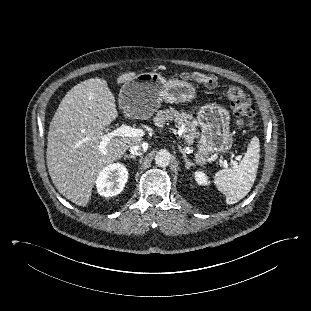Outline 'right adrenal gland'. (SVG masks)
Instances as JSON below:
<instances>
[{"label": "right adrenal gland", "instance_id": "obj_1", "mask_svg": "<svg viewBox=\"0 0 311 311\" xmlns=\"http://www.w3.org/2000/svg\"><path fill=\"white\" fill-rule=\"evenodd\" d=\"M136 157L137 156H135V155H124V159L131 158V159L135 160Z\"/></svg>", "mask_w": 311, "mask_h": 311}]
</instances>
